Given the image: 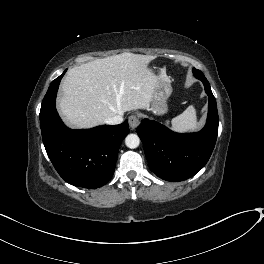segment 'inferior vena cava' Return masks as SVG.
Instances as JSON below:
<instances>
[{
	"instance_id": "inferior-vena-cava-1",
	"label": "inferior vena cava",
	"mask_w": 264,
	"mask_h": 264,
	"mask_svg": "<svg viewBox=\"0 0 264 264\" xmlns=\"http://www.w3.org/2000/svg\"><path fill=\"white\" fill-rule=\"evenodd\" d=\"M123 122V117L121 115H115L113 117H110L108 119H106L105 123L109 124V125H116V124H120Z\"/></svg>"
}]
</instances>
